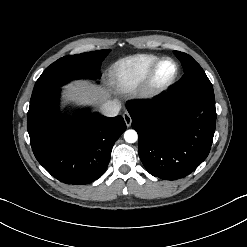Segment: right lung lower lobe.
<instances>
[{
    "instance_id": "98d812e1",
    "label": "right lung lower lobe",
    "mask_w": 247,
    "mask_h": 247,
    "mask_svg": "<svg viewBox=\"0 0 247 247\" xmlns=\"http://www.w3.org/2000/svg\"><path fill=\"white\" fill-rule=\"evenodd\" d=\"M59 90L30 106L27 129L38 162L66 184H89L105 172L115 141L126 130L122 116L86 113L72 119L59 111Z\"/></svg>"
}]
</instances>
